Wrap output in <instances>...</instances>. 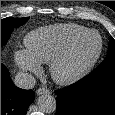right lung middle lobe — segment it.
Masks as SVG:
<instances>
[{"mask_svg": "<svg viewBox=\"0 0 115 115\" xmlns=\"http://www.w3.org/2000/svg\"><path fill=\"white\" fill-rule=\"evenodd\" d=\"M29 17L25 18H4L1 19V45L4 41L8 40L12 30L27 22Z\"/></svg>", "mask_w": 115, "mask_h": 115, "instance_id": "dd1d6c3e", "label": "right lung middle lobe"}]
</instances>
